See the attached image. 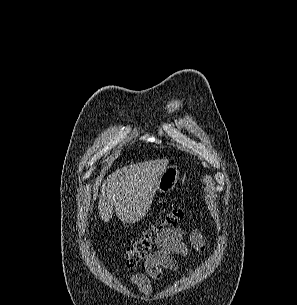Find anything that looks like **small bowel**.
Masks as SVG:
<instances>
[{
	"label": "small bowel",
	"mask_w": 297,
	"mask_h": 305,
	"mask_svg": "<svg viewBox=\"0 0 297 305\" xmlns=\"http://www.w3.org/2000/svg\"><path fill=\"white\" fill-rule=\"evenodd\" d=\"M157 249L144 261L145 273L131 274L132 284L144 294L153 291V282L161 280L166 271H175L178 262L174 255L185 256L193 247L203 250L205 243L198 230L187 231L182 227H168L157 236Z\"/></svg>",
	"instance_id": "c3829d8e"
}]
</instances>
